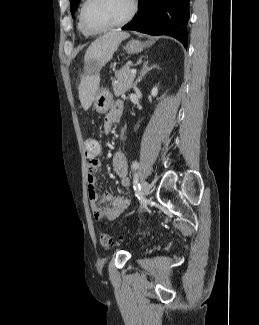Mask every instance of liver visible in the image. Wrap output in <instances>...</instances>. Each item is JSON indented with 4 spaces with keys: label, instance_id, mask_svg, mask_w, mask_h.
<instances>
[{
    "label": "liver",
    "instance_id": "6515ba94",
    "mask_svg": "<svg viewBox=\"0 0 259 325\" xmlns=\"http://www.w3.org/2000/svg\"><path fill=\"white\" fill-rule=\"evenodd\" d=\"M129 33L113 30L96 39L86 50L84 61L91 64L93 72L81 79L79 85V99L84 110H88L94 101L98 90L100 77L98 71L103 67L117 50L119 44L129 37Z\"/></svg>",
    "mask_w": 259,
    "mask_h": 325
}]
</instances>
